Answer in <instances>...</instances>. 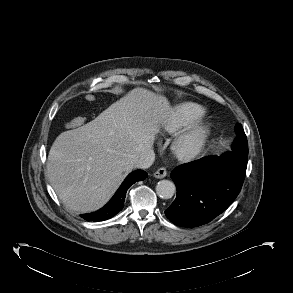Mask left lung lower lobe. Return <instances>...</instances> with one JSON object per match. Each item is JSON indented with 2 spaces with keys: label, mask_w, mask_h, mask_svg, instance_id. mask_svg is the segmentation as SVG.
<instances>
[{
  "label": "left lung lower lobe",
  "mask_w": 293,
  "mask_h": 293,
  "mask_svg": "<svg viewBox=\"0 0 293 293\" xmlns=\"http://www.w3.org/2000/svg\"><path fill=\"white\" fill-rule=\"evenodd\" d=\"M248 142L235 140L233 151L206 156L171 172L177 196L165 215L174 224L196 227L225 211L239 194L247 168Z\"/></svg>",
  "instance_id": "0a47b994"
}]
</instances>
